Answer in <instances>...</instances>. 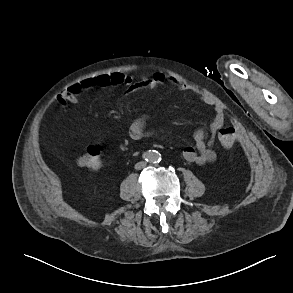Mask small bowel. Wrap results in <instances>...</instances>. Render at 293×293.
<instances>
[{
	"label": "small bowel",
	"mask_w": 293,
	"mask_h": 293,
	"mask_svg": "<svg viewBox=\"0 0 293 293\" xmlns=\"http://www.w3.org/2000/svg\"><path fill=\"white\" fill-rule=\"evenodd\" d=\"M169 81L175 87L182 91H188L190 88L175 78L166 77L163 73H154L151 77H142L137 83L132 78L122 72H109L98 74L94 77L85 78L77 83L70 85L57 97L60 106L66 107L68 104H79L81 102V93L93 88L105 89L109 87L126 86L129 89L147 87L156 89L160 83ZM225 117L220 108H215V115L210 124L209 132L197 130L194 133V145L186 146L183 150V157L186 161L196 164L211 163L216 159V152L212 149L214 135L218 129L224 125ZM147 119L139 117L134 120L129 127L131 138L140 140L148 132L146 131Z\"/></svg>",
	"instance_id": "obj_1"
}]
</instances>
